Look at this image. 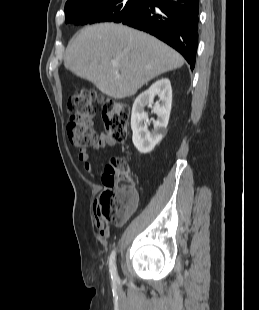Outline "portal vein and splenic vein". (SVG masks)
<instances>
[{
  "label": "portal vein and splenic vein",
  "mask_w": 259,
  "mask_h": 310,
  "mask_svg": "<svg viewBox=\"0 0 259 310\" xmlns=\"http://www.w3.org/2000/svg\"><path fill=\"white\" fill-rule=\"evenodd\" d=\"M112 65H113V67H118V63L115 61L112 62Z\"/></svg>",
  "instance_id": "1"
}]
</instances>
